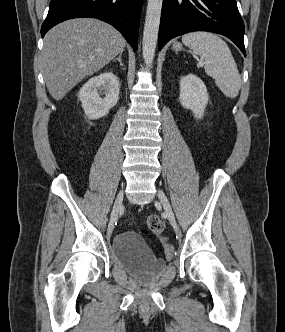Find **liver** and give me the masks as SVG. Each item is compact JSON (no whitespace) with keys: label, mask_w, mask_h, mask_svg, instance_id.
Wrapping results in <instances>:
<instances>
[{"label":"liver","mask_w":285,"mask_h":332,"mask_svg":"<svg viewBox=\"0 0 285 332\" xmlns=\"http://www.w3.org/2000/svg\"><path fill=\"white\" fill-rule=\"evenodd\" d=\"M126 41L111 25L76 18L53 27L44 38L43 76L50 95L60 101L86 76L124 51Z\"/></svg>","instance_id":"1"}]
</instances>
